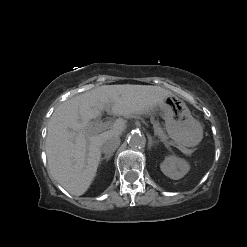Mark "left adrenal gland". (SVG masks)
Instances as JSON below:
<instances>
[{"label": "left adrenal gland", "instance_id": "1", "mask_svg": "<svg viewBox=\"0 0 247 247\" xmlns=\"http://www.w3.org/2000/svg\"><path fill=\"white\" fill-rule=\"evenodd\" d=\"M148 139V148L150 149L156 143V141H153L151 136H149Z\"/></svg>", "mask_w": 247, "mask_h": 247}]
</instances>
